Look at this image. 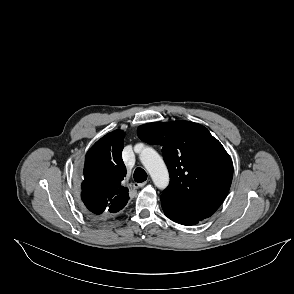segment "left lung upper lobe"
Returning <instances> with one entry per match:
<instances>
[{"label": "left lung upper lobe", "mask_w": 294, "mask_h": 294, "mask_svg": "<svg viewBox=\"0 0 294 294\" xmlns=\"http://www.w3.org/2000/svg\"><path fill=\"white\" fill-rule=\"evenodd\" d=\"M138 137L161 145L170 185L161 195L165 203L205 219L227 196L233 163L222 144L204 126L188 122L148 123Z\"/></svg>", "instance_id": "obj_1"}]
</instances>
